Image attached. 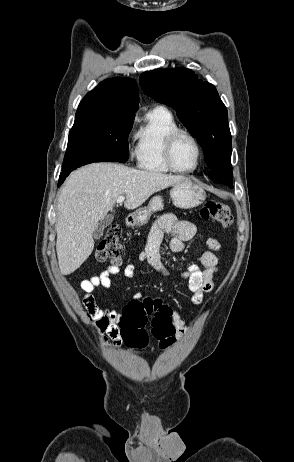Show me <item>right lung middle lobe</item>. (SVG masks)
<instances>
[{
  "instance_id": "dd1d6c3e",
  "label": "right lung middle lobe",
  "mask_w": 294,
  "mask_h": 462,
  "mask_svg": "<svg viewBox=\"0 0 294 462\" xmlns=\"http://www.w3.org/2000/svg\"><path fill=\"white\" fill-rule=\"evenodd\" d=\"M134 117V114L109 111L76 112L62 171L93 162H126L127 137Z\"/></svg>"
}]
</instances>
